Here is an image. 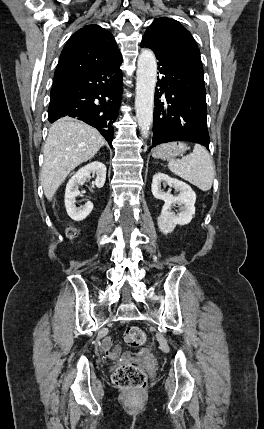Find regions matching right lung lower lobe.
Returning <instances> with one entry per match:
<instances>
[{
  "label": "right lung lower lobe",
  "instance_id": "98d812e1",
  "mask_svg": "<svg viewBox=\"0 0 264 429\" xmlns=\"http://www.w3.org/2000/svg\"><path fill=\"white\" fill-rule=\"evenodd\" d=\"M121 53L90 72L51 89L48 120L70 116L95 127L112 147L123 92Z\"/></svg>",
  "mask_w": 264,
  "mask_h": 429
}]
</instances>
